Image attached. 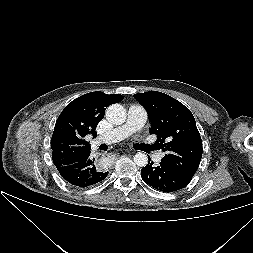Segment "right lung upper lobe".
Returning <instances> with one entry per match:
<instances>
[{
    "label": "right lung upper lobe",
    "instance_id": "1",
    "mask_svg": "<svg viewBox=\"0 0 253 253\" xmlns=\"http://www.w3.org/2000/svg\"><path fill=\"white\" fill-rule=\"evenodd\" d=\"M120 94L100 91L87 93L69 103L56 121L51 139L52 159L56 167L73 164L90 155V144L84 137L95 131L106 108L123 100Z\"/></svg>",
    "mask_w": 253,
    "mask_h": 253
}]
</instances>
